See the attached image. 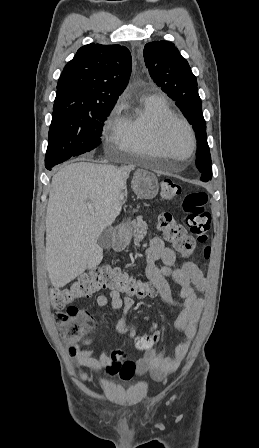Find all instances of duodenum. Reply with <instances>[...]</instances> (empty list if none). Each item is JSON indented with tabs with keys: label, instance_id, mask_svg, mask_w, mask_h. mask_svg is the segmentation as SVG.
<instances>
[{
	"label": "duodenum",
	"instance_id": "1",
	"mask_svg": "<svg viewBox=\"0 0 259 448\" xmlns=\"http://www.w3.org/2000/svg\"><path fill=\"white\" fill-rule=\"evenodd\" d=\"M126 230L123 227L116 229L114 233L113 249L121 250L125 246Z\"/></svg>",
	"mask_w": 259,
	"mask_h": 448
}]
</instances>
